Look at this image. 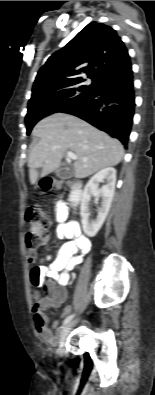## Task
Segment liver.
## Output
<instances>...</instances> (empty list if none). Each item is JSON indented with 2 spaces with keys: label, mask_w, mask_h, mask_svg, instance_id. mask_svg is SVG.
Returning a JSON list of instances; mask_svg holds the SVG:
<instances>
[{
  "label": "liver",
  "mask_w": 155,
  "mask_h": 395,
  "mask_svg": "<svg viewBox=\"0 0 155 395\" xmlns=\"http://www.w3.org/2000/svg\"><path fill=\"white\" fill-rule=\"evenodd\" d=\"M33 135L40 141L29 154L28 167L31 184L57 170L66 152H73L77 160L73 164L76 178H85L97 171L116 166L124 156L119 140L111 138L86 121L72 115L56 113L38 122Z\"/></svg>",
  "instance_id": "obj_1"
}]
</instances>
